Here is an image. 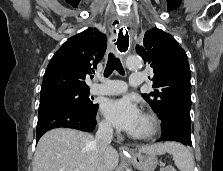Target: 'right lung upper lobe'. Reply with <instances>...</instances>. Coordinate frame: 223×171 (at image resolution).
<instances>
[{
	"mask_svg": "<svg viewBox=\"0 0 223 171\" xmlns=\"http://www.w3.org/2000/svg\"><path fill=\"white\" fill-rule=\"evenodd\" d=\"M106 36L96 28L69 38L50 60L42 83L40 98L53 94L89 90L87 74L94 71L102 59Z\"/></svg>",
	"mask_w": 223,
	"mask_h": 171,
	"instance_id": "right-lung-upper-lobe-1",
	"label": "right lung upper lobe"
}]
</instances>
